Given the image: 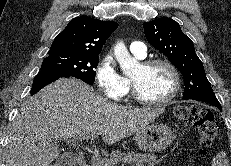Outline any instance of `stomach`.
<instances>
[{"instance_id":"1","label":"stomach","mask_w":231,"mask_h":166,"mask_svg":"<svg viewBox=\"0 0 231 166\" xmlns=\"http://www.w3.org/2000/svg\"><path fill=\"white\" fill-rule=\"evenodd\" d=\"M176 135L172 129L162 123L148 125L135 133L136 145L148 152H159L169 147Z\"/></svg>"}]
</instances>
